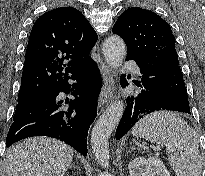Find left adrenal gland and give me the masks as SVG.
<instances>
[{
  "mask_svg": "<svg viewBox=\"0 0 205 176\" xmlns=\"http://www.w3.org/2000/svg\"><path fill=\"white\" fill-rule=\"evenodd\" d=\"M137 145H138V144H137ZM135 149H139V145H138V147H132L131 152H132L133 150H135Z\"/></svg>",
  "mask_w": 205,
  "mask_h": 176,
  "instance_id": "a2214340",
  "label": "left adrenal gland"
}]
</instances>
